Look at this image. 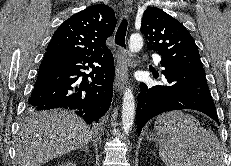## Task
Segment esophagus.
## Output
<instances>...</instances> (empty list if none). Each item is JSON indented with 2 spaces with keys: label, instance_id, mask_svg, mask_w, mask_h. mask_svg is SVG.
<instances>
[{
  "label": "esophagus",
  "instance_id": "34e87169",
  "mask_svg": "<svg viewBox=\"0 0 231 166\" xmlns=\"http://www.w3.org/2000/svg\"><path fill=\"white\" fill-rule=\"evenodd\" d=\"M133 0H124L125 4V12L130 13L132 9ZM116 76H115V90L118 93H122L124 91L126 81L128 78V65L129 59L125 51L122 49H118L116 52Z\"/></svg>",
  "mask_w": 231,
  "mask_h": 166
}]
</instances>
